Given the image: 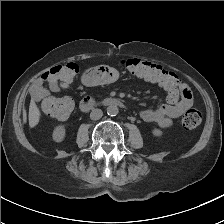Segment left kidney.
Listing matches in <instances>:
<instances>
[{
    "label": "left kidney",
    "mask_w": 224,
    "mask_h": 224,
    "mask_svg": "<svg viewBox=\"0 0 224 224\" xmlns=\"http://www.w3.org/2000/svg\"><path fill=\"white\" fill-rule=\"evenodd\" d=\"M151 134L154 137L161 139L163 136V131L159 128H153V129H151Z\"/></svg>",
    "instance_id": "left-kidney-1"
}]
</instances>
